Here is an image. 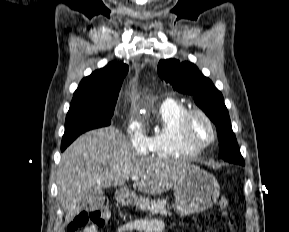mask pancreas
Listing matches in <instances>:
<instances>
[{
	"instance_id": "obj_1",
	"label": "pancreas",
	"mask_w": 289,
	"mask_h": 232,
	"mask_svg": "<svg viewBox=\"0 0 289 232\" xmlns=\"http://www.w3.org/2000/svg\"><path fill=\"white\" fill-rule=\"evenodd\" d=\"M167 201L165 199L163 200H157L152 201L150 205L148 206L147 210L150 214H161L163 216L171 215V212L166 209Z\"/></svg>"
}]
</instances>
